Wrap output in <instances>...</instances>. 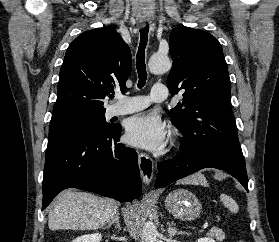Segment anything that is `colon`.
Listing matches in <instances>:
<instances>
[{
	"label": "colon",
	"mask_w": 279,
	"mask_h": 242,
	"mask_svg": "<svg viewBox=\"0 0 279 242\" xmlns=\"http://www.w3.org/2000/svg\"><path fill=\"white\" fill-rule=\"evenodd\" d=\"M237 242H244V241H242V240H239V241H237Z\"/></svg>",
	"instance_id": "colon-1"
}]
</instances>
